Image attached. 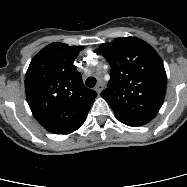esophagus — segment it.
I'll return each instance as SVG.
<instances>
[{
	"label": "esophagus",
	"instance_id": "34e87169",
	"mask_svg": "<svg viewBox=\"0 0 187 187\" xmlns=\"http://www.w3.org/2000/svg\"><path fill=\"white\" fill-rule=\"evenodd\" d=\"M103 88H104V84L100 82V83H98V84L96 85L95 91H96L98 94H100V93L102 92Z\"/></svg>",
	"mask_w": 187,
	"mask_h": 187
}]
</instances>
